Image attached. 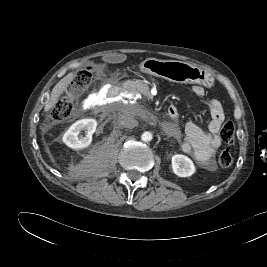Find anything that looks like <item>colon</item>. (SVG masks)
I'll return each instance as SVG.
<instances>
[{"mask_svg":"<svg viewBox=\"0 0 267 267\" xmlns=\"http://www.w3.org/2000/svg\"><path fill=\"white\" fill-rule=\"evenodd\" d=\"M93 73L87 68L80 71L71 82L66 94L53 107L50 118L54 122L66 119L72 113L76 97L86 89L92 81ZM220 138L226 144H233L235 140V125L232 120H227L221 127ZM221 168H228L233 163V156L228 149L223 150L218 158Z\"/></svg>","mask_w":267,"mask_h":267,"instance_id":"1","label":"colon"}]
</instances>
